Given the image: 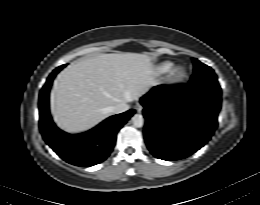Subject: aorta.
<instances>
[{"label": "aorta", "mask_w": 260, "mask_h": 205, "mask_svg": "<svg viewBox=\"0 0 260 205\" xmlns=\"http://www.w3.org/2000/svg\"><path fill=\"white\" fill-rule=\"evenodd\" d=\"M132 122H133V125L137 128H140L143 126V123H144V119H143V116L141 114H135L133 117H132Z\"/></svg>", "instance_id": "762f6f07"}]
</instances>
